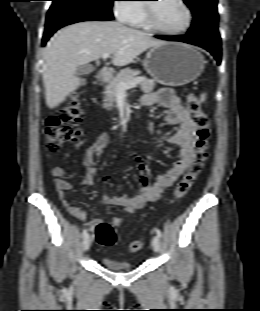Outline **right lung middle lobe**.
<instances>
[{"mask_svg":"<svg viewBox=\"0 0 260 311\" xmlns=\"http://www.w3.org/2000/svg\"><path fill=\"white\" fill-rule=\"evenodd\" d=\"M51 7L69 5L75 8L91 11L105 16L113 17L111 7L114 0H52Z\"/></svg>","mask_w":260,"mask_h":311,"instance_id":"right-lung-middle-lobe-1","label":"right lung middle lobe"}]
</instances>
